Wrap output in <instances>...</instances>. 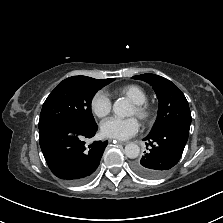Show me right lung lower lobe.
<instances>
[{
	"label": "right lung lower lobe",
	"instance_id": "obj_1",
	"mask_svg": "<svg viewBox=\"0 0 223 223\" xmlns=\"http://www.w3.org/2000/svg\"><path fill=\"white\" fill-rule=\"evenodd\" d=\"M98 127H86L72 121H58L39 128L40 147L52 173L71 184L87 182L99 166L108 141H94Z\"/></svg>",
	"mask_w": 223,
	"mask_h": 223
}]
</instances>
